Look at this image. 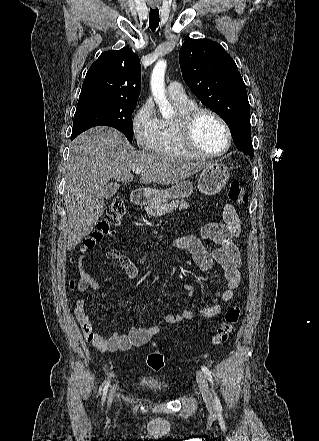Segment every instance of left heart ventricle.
Segmentation results:
<instances>
[{"mask_svg": "<svg viewBox=\"0 0 319 441\" xmlns=\"http://www.w3.org/2000/svg\"><path fill=\"white\" fill-rule=\"evenodd\" d=\"M194 140L196 145L203 151L214 153L225 147L226 134L217 120L204 115L196 124Z\"/></svg>", "mask_w": 319, "mask_h": 441, "instance_id": "left-heart-ventricle-1", "label": "left heart ventricle"}]
</instances>
